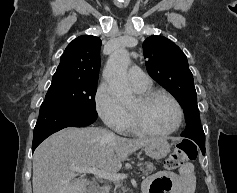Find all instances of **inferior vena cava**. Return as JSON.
I'll use <instances>...</instances> for the list:
<instances>
[{"mask_svg": "<svg viewBox=\"0 0 237 193\" xmlns=\"http://www.w3.org/2000/svg\"><path fill=\"white\" fill-rule=\"evenodd\" d=\"M108 134H109L110 136H112V137H114V136H115V134H114V133H112V132H108ZM105 192H106V193H108V192H109V187H105Z\"/></svg>", "mask_w": 237, "mask_h": 193, "instance_id": "1", "label": "inferior vena cava"}]
</instances>
